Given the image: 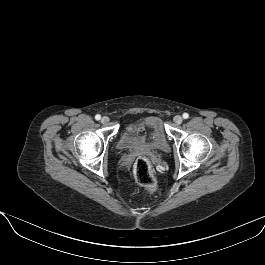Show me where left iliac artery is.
Returning <instances> with one entry per match:
<instances>
[{"instance_id": "obj_1", "label": "left iliac artery", "mask_w": 265, "mask_h": 265, "mask_svg": "<svg viewBox=\"0 0 265 265\" xmlns=\"http://www.w3.org/2000/svg\"><path fill=\"white\" fill-rule=\"evenodd\" d=\"M188 117H189V114H188V113H184V114H183V118H184V119H187Z\"/></svg>"}]
</instances>
